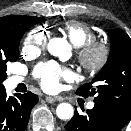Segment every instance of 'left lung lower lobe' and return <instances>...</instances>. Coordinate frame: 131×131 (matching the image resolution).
<instances>
[{"label": "left lung lower lobe", "instance_id": "0a47b994", "mask_svg": "<svg viewBox=\"0 0 131 131\" xmlns=\"http://www.w3.org/2000/svg\"><path fill=\"white\" fill-rule=\"evenodd\" d=\"M126 124L105 107L95 104L85 116L75 111L65 128L67 131H120Z\"/></svg>", "mask_w": 131, "mask_h": 131}]
</instances>
